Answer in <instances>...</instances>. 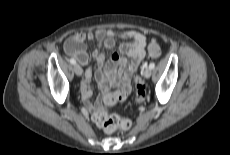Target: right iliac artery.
Here are the masks:
<instances>
[{"instance_id":"right-iliac-artery-1","label":"right iliac artery","mask_w":230,"mask_h":155,"mask_svg":"<svg viewBox=\"0 0 230 155\" xmlns=\"http://www.w3.org/2000/svg\"><path fill=\"white\" fill-rule=\"evenodd\" d=\"M70 63H71V64H76V61H75L73 58H71V59H70Z\"/></svg>"}]
</instances>
